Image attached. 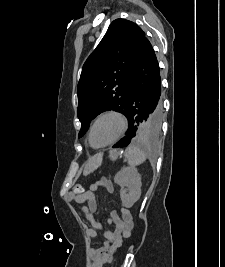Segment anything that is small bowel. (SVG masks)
I'll use <instances>...</instances> for the list:
<instances>
[{
  "label": "small bowel",
  "instance_id": "obj_1",
  "mask_svg": "<svg viewBox=\"0 0 225 267\" xmlns=\"http://www.w3.org/2000/svg\"><path fill=\"white\" fill-rule=\"evenodd\" d=\"M98 187H103L108 192H113L114 190V186L110 180L101 179L93 183L90 186V190L82 196L76 197L72 194L68 195L70 201L74 200L75 202L82 204L81 210L86 220L91 224V227L86 231L90 238H95L97 236V231L103 230L101 223L94 218V212L98 207L94 192ZM108 223L113 225L115 229L113 231L103 230L106 239L105 244L102 247L91 248L90 255L92 258V267H103L110 256L122 246L123 239L130 237L132 234L133 219L127 208H122L121 214L112 211Z\"/></svg>",
  "mask_w": 225,
  "mask_h": 267
}]
</instances>
